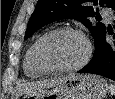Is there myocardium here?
<instances>
[{
	"label": "myocardium",
	"mask_w": 115,
	"mask_h": 99,
	"mask_svg": "<svg viewBox=\"0 0 115 99\" xmlns=\"http://www.w3.org/2000/svg\"><path fill=\"white\" fill-rule=\"evenodd\" d=\"M62 33H70L79 36L85 43L86 51L83 58L75 65L67 66V67H54L47 64L41 53V48L43 43L52 36L62 34ZM92 56V44L89 38L79 29L73 27H60L55 28L53 30L48 31L43 34L40 38L37 39L34 46V60L37 66L45 73L49 74H59V73H68L80 70L83 68L91 59Z\"/></svg>",
	"instance_id": "myocardium-1"
}]
</instances>
